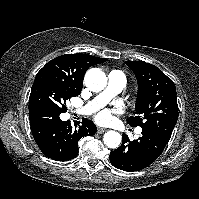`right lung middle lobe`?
<instances>
[{"instance_id": "dd1d6c3e", "label": "right lung middle lobe", "mask_w": 199, "mask_h": 199, "mask_svg": "<svg viewBox=\"0 0 199 199\" xmlns=\"http://www.w3.org/2000/svg\"><path fill=\"white\" fill-rule=\"evenodd\" d=\"M80 92V89L64 81L53 78H35L29 97V108L44 105L63 113L67 111L66 101L79 95Z\"/></svg>"}]
</instances>
